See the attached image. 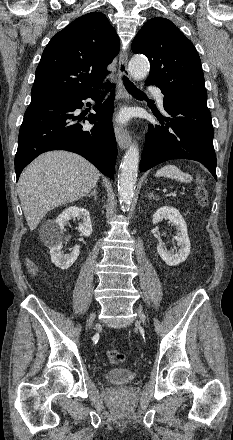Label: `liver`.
<instances>
[{
  "label": "liver",
  "mask_w": 233,
  "mask_h": 440,
  "mask_svg": "<svg viewBox=\"0 0 233 440\" xmlns=\"http://www.w3.org/2000/svg\"><path fill=\"white\" fill-rule=\"evenodd\" d=\"M100 172L75 153L50 151L40 155L22 172L18 194L25 219L35 230L46 213L87 195Z\"/></svg>",
  "instance_id": "liver-1"
}]
</instances>
